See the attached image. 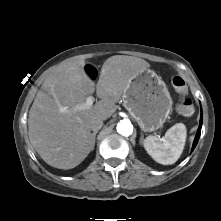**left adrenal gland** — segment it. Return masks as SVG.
Returning <instances> with one entry per match:
<instances>
[{"instance_id": "left-adrenal-gland-1", "label": "left adrenal gland", "mask_w": 221, "mask_h": 221, "mask_svg": "<svg viewBox=\"0 0 221 221\" xmlns=\"http://www.w3.org/2000/svg\"><path fill=\"white\" fill-rule=\"evenodd\" d=\"M142 139H143V135H142L141 138H140V144L142 143Z\"/></svg>"}]
</instances>
